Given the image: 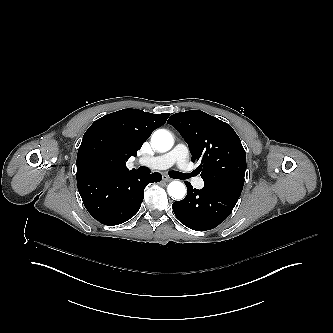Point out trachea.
Here are the masks:
<instances>
[{"instance_id": "trachea-1", "label": "trachea", "mask_w": 333, "mask_h": 333, "mask_svg": "<svg viewBox=\"0 0 333 333\" xmlns=\"http://www.w3.org/2000/svg\"><path fill=\"white\" fill-rule=\"evenodd\" d=\"M169 176L172 178L182 179V173L176 171H169Z\"/></svg>"}]
</instances>
